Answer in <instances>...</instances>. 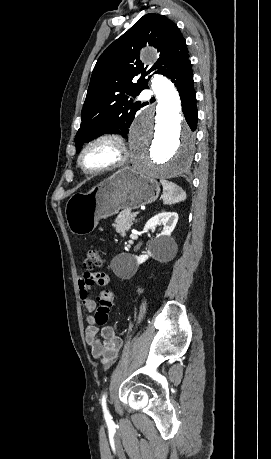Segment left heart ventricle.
<instances>
[{
  "instance_id": "left-heart-ventricle-1",
  "label": "left heart ventricle",
  "mask_w": 271,
  "mask_h": 459,
  "mask_svg": "<svg viewBox=\"0 0 271 459\" xmlns=\"http://www.w3.org/2000/svg\"><path fill=\"white\" fill-rule=\"evenodd\" d=\"M116 151V146L111 140L105 139L95 142L84 154L82 165L87 170L94 169L111 161L115 157Z\"/></svg>"
}]
</instances>
